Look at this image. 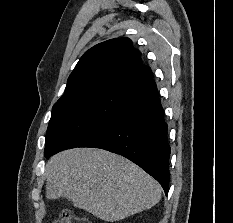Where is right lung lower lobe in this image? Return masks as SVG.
<instances>
[{"mask_svg": "<svg viewBox=\"0 0 233 223\" xmlns=\"http://www.w3.org/2000/svg\"><path fill=\"white\" fill-rule=\"evenodd\" d=\"M121 98L122 110L79 147L101 148L128 158L154 177L167 195L171 151L153 78L125 89ZM57 152L44 151L46 157Z\"/></svg>", "mask_w": 233, "mask_h": 223, "instance_id": "right-lung-lower-lobe-1", "label": "right lung lower lobe"}]
</instances>
